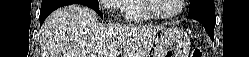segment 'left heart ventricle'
Returning a JSON list of instances; mask_svg holds the SVG:
<instances>
[{
    "label": "left heart ventricle",
    "mask_w": 249,
    "mask_h": 57,
    "mask_svg": "<svg viewBox=\"0 0 249 57\" xmlns=\"http://www.w3.org/2000/svg\"><path fill=\"white\" fill-rule=\"evenodd\" d=\"M154 11L159 14H168L175 12L179 7L178 0H154Z\"/></svg>",
    "instance_id": "b2bd125f"
}]
</instances>
